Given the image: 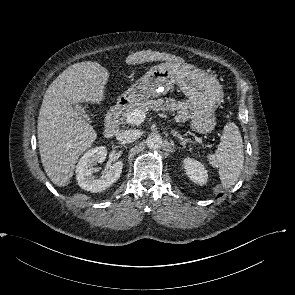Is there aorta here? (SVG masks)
<instances>
[{"instance_id":"obj_1","label":"aorta","mask_w":295,"mask_h":295,"mask_svg":"<svg viewBox=\"0 0 295 295\" xmlns=\"http://www.w3.org/2000/svg\"><path fill=\"white\" fill-rule=\"evenodd\" d=\"M146 143L152 150L160 149L162 146V138L159 134L152 133L147 137Z\"/></svg>"}]
</instances>
